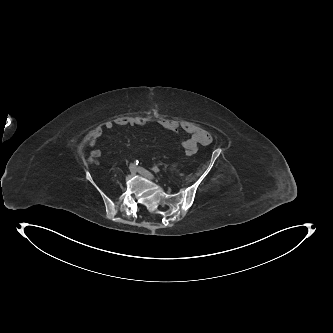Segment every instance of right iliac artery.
Here are the masks:
<instances>
[{
	"instance_id": "82829eb1",
	"label": "right iliac artery",
	"mask_w": 333,
	"mask_h": 333,
	"mask_svg": "<svg viewBox=\"0 0 333 333\" xmlns=\"http://www.w3.org/2000/svg\"><path fill=\"white\" fill-rule=\"evenodd\" d=\"M138 163H139L138 160H136L135 164L138 165Z\"/></svg>"
}]
</instances>
